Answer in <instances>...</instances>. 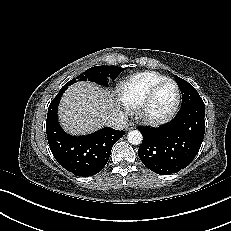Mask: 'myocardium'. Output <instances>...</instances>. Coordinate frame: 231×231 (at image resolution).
Returning a JSON list of instances; mask_svg holds the SVG:
<instances>
[{"mask_svg":"<svg viewBox=\"0 0 231 231\" xmlns=\"http://www.w3.org/2000/svg\"><path fill=\"white\" fill-rule=\"evenodd\" d=\"M172 84L175 88V99L172 104V106L163 114L161 115H151L148 112V105L156 91L164 84ZM180 99H181V93L178 84L170 78H165L155 84L142 98L140 103L137 106L136 109V114L138 118L144 122L145 124L152 125V126H157L161 124H165L168 121H170L174 115L176 114L179 104H180Z\"/></svg>","mask_w":231,"mask_h":231,"instance_id":"f54148a6","label":"myocardium"}]
</instances>
